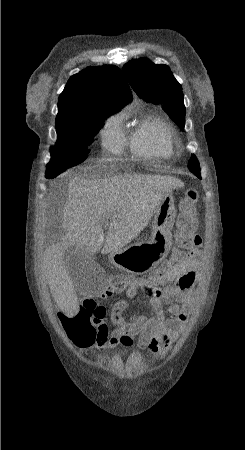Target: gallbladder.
Here are the masks:
<instances>
[{
  "instance_id": "bac80fb5",
  "label": "gallbladder",
  "mask_w": 245,
  "mask_h": 450,
  "mask_svg": "<svg viewBox=\"0 0 245 450\" xmlns=\"http://www.w3.org/2000/svg\"><path fill=\"white\" fill-rule=\"evenodd\" d=\"M69 276L77 287L83 271L95 263V256L83 249L72 247L67 250L64 257Z\"/></svg>"
}]
</instances>
